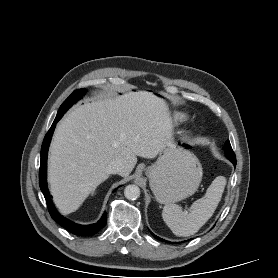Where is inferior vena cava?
<instances>
[{
    "instance_id": "1",
    "label": "inferior vena cava",
    "mask_w": 278,
    "mask_h": 278,
    "mask_svg": "<svg viewBox=\"0 0 278 278\" xmlns=\"http://www.w3.org/2000/svg\"><path fill=\"white\" fill-rule=\"evenodd\" d=\"M123 168V162L119 159H116L108 165L107 171L109 174H119L123 170Z\"/></svg>"
}]
</instances>
